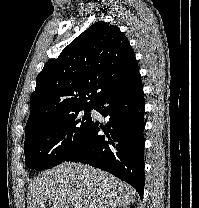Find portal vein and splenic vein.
<instances>
[{
	"mask_svg": "<svg viewBox=\"0 0 199 208\" xmlns=\"http://www.w3.org/2000/svg\"><path fill=\"white\" fill-rule=\"evenodd\" d=\"M72 204L74 205L75 208H81V206L78 205L77 203L75 204L74 202H72Z\"/></svg>",
	"mask_w": 199,
	"mask_h": 208,
	"instance_id": "portal-vein-and-splenic-vein-1",
	"label": "portal vein and splenic vein"
}]
</instances>
